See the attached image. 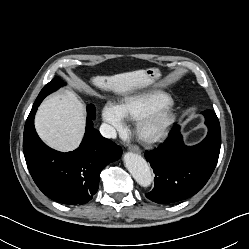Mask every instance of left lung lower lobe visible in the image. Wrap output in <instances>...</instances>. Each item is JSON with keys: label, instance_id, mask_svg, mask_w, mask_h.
Wrapping results in <instances>:
<instances>
[{"label": "left lung lower lobe", "instance_id": "left-lung-lower-lobe-1", "mask_svg": "<svg viewBox=\"0 0 249 249\" xmlns=\"http://www.w3.org/2000/svg\"><path fill=\"white\" fill-rule=\"evenodd\" d=\"M208 127L206 138L195 146L183 143L180 127L174 126L158 148L145 152L155 173L150 200L168 204L187 199L203 188L218 161L221 146L220 124L211 110L202 112Z\"/></svg>", "mask_w": 249, "mask_h": 249}]
</instances>
